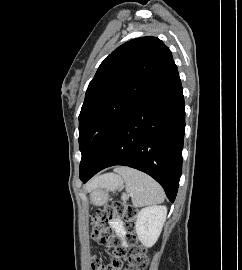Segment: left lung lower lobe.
I'll return each instance as SVG.
<instances>
[{"mask_svg":"<svg viewBox=\"0 0 242 270\" xmlns=\"http://www.w3.org/2000/svg\"><path fill=\"white\" fill-rule=\"evenodd\" d=\"M184 128V97L174 63L119 123L80 178L86 182L104 168L129 166L153 177L174 202L182 174Z\"/></svg>","mask_w":242,"mask_h":270,"instance_id":"left-lung-lower-lobe-1","label":"left lung lower lobe"}]
</instances>
